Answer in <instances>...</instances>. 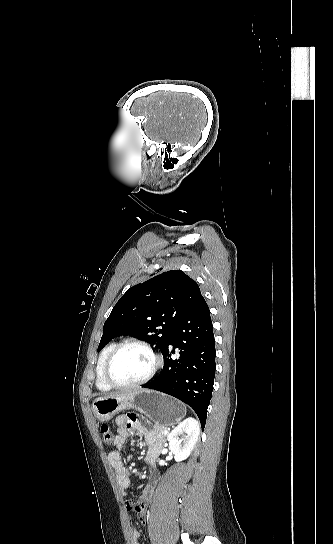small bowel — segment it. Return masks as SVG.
<instances>
[{
	"instance_id": "1",
	"label": "small bowel",
	"mask_w": 333,
	"mask_h": 544,
	"mask_svg": "<svg viewBox=\"0 0 333 544\" xmlns=\"http://www.w3.org/2000/svg\"><path fill=\"white\" fill-rule=\"evenodd\" d=\"M116 423L118 430L113 441L114 450L108 454V460L115 470L117 482L122 491H126L130 487V474L124 467L121 458V451L127 441L129 433L134 436L142 435L146 444L149 446L145 458L146 462L151 465L147 484L137 500L133 501L128 499L125 501L126 508L128 510L135 508L139 521L144 524L146 522L148 503L158 482L159 474L155 468V461L158 457L160 447L154 434L150 430H147L137 417L122 415L117 418ZM130 535L132 544H139V532L135 529H131Z\"/></svg>"
}]
</instances>
